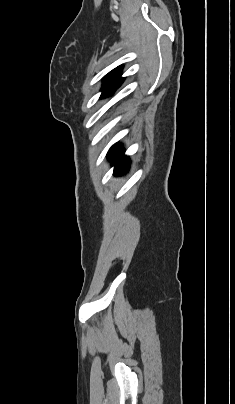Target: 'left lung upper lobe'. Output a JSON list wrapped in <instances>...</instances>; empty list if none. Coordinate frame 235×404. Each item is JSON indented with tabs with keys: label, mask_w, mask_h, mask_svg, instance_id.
I'll use <instances>...</instances> for the list:
<instances>
[{
	"label": "left lung upper lobe",
	"mask_w": 235,
	"mask_h": 404,
	"mask_svg": "<svg viewBox=\"0 0 235 404\" xmlns=\"http://www.w3.org/2000/svg\"><path fill=\"white\" fill-rule=\"evenodd\" d=\"M121 70L122 67L119 66L104 77L101 98L112 95L114 91L121 85L123 82V78L120 77Z\"/></svg>",
	"instance_id": "left-lung-upper-lobe-1"
}]
</instances>
